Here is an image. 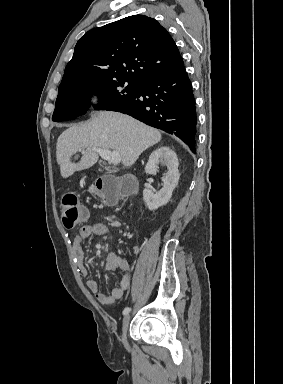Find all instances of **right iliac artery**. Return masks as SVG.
Instances as JSON below:
<instances>
[{
  "label": "right iliac artery",
  "mask_w": 283,
  "mask_h": 384,
  "mask_svg": "<svg viewBox=\"0 0 283 384\" xmlns=\"http://www.w3.org/2000/svg\"><path fill=\"white\" fill-rule=\"evenodd\" d=\"M130 311H131V308H130V307H126V308L123 310V315L128 314Z\"/></svg>",
  "instance_id": "1"
}]
</instances>
